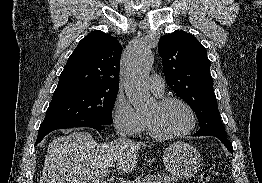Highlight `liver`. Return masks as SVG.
Segmentation results:
<instances>
[{"instance_id":"liver-1","label":"liver","mask_w":262,"mask_h":183,"mask_svg":"<svg viewBox=\"0 0 262 183\" xmlns=\"http://www.w3.org/2000/svg\"><path fill=\"white\" fill-rule=\"evenodd\" d=\"M145 146L123 138L98 143L87 132L57 137L48 147L40 183H102L101 173L116 162L117 172H131Z\"/></svg>"}]
</instances>
